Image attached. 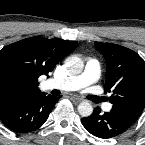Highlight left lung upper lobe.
<instances>
[{
    "instance_id": "left-lung-upper-lobe-1",
    "label": "left lung upper lobe",
    "mask_w": 145,
    "mask_h": 145,
    "mask_svg": "<svg viewBox=\"0 0 145 145\" xmlns=\"http://www.w3.org/2000/svg\"><path fill=\"white\" fill-rule=\"evenodd\" d=\"M106 60V89L112 92L110 113L132 126L145 107V61L134 51L112 43L95 42Z\"/></svg>"
}]
</instances>
